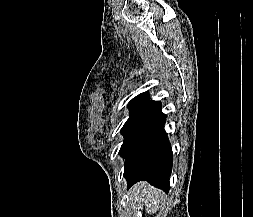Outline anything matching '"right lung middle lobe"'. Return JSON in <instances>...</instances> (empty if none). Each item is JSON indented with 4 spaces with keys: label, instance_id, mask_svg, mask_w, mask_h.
Segmentation results:
<instances>
[{
    "label": "right lung middle lobe",
    "instance_id": "1",
    "mask_svg": "<svg viewBox=\"0 0 253 217\" xmlns=\"http://www.w3.org/2000/svg\"><path fill=\"white\" fill-rule=\"evenodd\" d=\"M151 103L148 102H132L129 104L131 115L121 129V134L125 136L132 126L140 119V117L150 107Z\"/></svg>",
    "mask_w": 253,
    "mask_h": 217
}]
</instances>
